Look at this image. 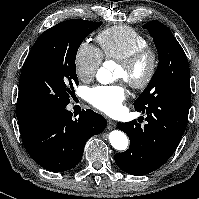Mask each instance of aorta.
Returning <instances> with one entry per match:
<instances>
[{"instance_id": "1", "label": "aorta", "mask_w": 199, "mask_h": 199, "mask_svg": "<svg viewBox=\"0 0 199 199\" xmlns=\"http://www.w3.org/2000/svg\"><path fill=\"white\" fill-rule=\"evenodd\" d=\"M97 80L102 84H108L112 81V74L106 67H101L97 72ZM109 141L116 150H126L128 147V138L120 130H114L109 134Z\"/></svg>"}]
</instances>
